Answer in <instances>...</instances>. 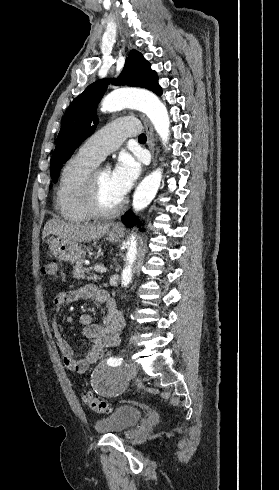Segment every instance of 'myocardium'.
I'll list each match as a JSON object with an SVG mask.
<instances>
[{
    "mask_svg": "<svg viewBox=\"0 0 279 490\" xmlns=\"http://www.w3.org/2000/svg\"><path fill=\"white\" fill-rule=\"evenodd\" d=\"M99 170L91 173L87 193V206L94 217L110 218L119 214L124 208V200H120L116 205L107 207L101 199V187L98 179Z\"/></svg>",
    "mask_w": 279,
    "mask_h": 490,
    "instance_id": "myocardium-1",
    "label": "myocardium"
}]
</instances>
